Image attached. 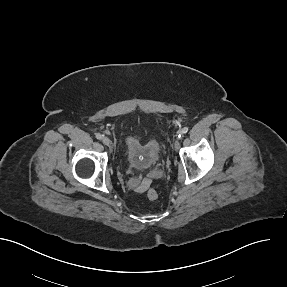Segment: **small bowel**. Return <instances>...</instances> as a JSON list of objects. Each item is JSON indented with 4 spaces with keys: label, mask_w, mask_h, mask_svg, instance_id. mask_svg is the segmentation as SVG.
Masks as SVG:
<instances>
[{
    "label": "small bowel",
    "mask_w": 287,
    "mask_h": 287,
    "mask_svg": "<svg viewBox=\"0 0 287 287\" xmlns=\"http://www.w3.org/2000/svg\"><path fill=\"white\" fill-rule=\"evenodd\" d=\"M146 189V184L142 183L136 187L137 192H143Z\"/></svg>",
    "instance_id": "1"
}]
</instances>
